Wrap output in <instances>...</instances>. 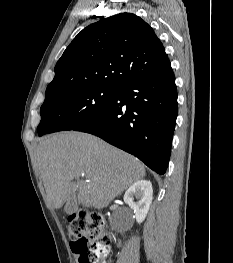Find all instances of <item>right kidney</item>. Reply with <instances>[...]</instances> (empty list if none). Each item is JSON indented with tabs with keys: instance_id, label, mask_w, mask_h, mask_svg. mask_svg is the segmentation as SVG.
<instances>
[{
	"instance_id": "1",
	"label": "right kidney",
	"mask_w": 233,
	"mask_h": 263,
	"mask_svg": "<svg viewBox=\"0 0 233 263\" xmlns=\"http://www.w3.org/2000/svg\"><path fill=\"white\" fill-rule=\"evenodd\" d=\"M152 195V184L148 180H138L125 192L124 202L134 211L138 223L145 220L152 203Z\"/></svg>"
}]
</instances>
